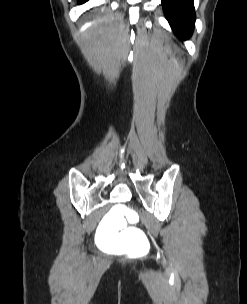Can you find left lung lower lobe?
I'll list each match as a JSON object with an SVG mask.
<instances>
[{
  "mask_svg": "<svg viewBox=\"0 0 247 304\" xmlns=\"http://www.w3.org/2000/svg\"><path fill=\"white\" fill-rule=\"evenodd\" d=\"M162 6L174 33L182 39L189 38L196 19L193 0H162Z\"/></svg>",
  "mask_w": 247,
  "mask_h": 304,
  "instance_id": "1",
  "label": "left lung lower lobe"
}]
</instances>
